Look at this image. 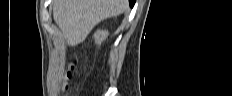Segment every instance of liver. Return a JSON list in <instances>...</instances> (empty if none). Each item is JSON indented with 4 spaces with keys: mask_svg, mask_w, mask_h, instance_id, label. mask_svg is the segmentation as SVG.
<instances>
[{
    "mask_svg": "<svg viewBox=\"0 0 232 96\" xmlns=\"http://www.w3.org/2000/svg\"><path fill=\"white\" fill-rule=\"evenodd\" d=\"M128 0H55L53 17L69 46L83 42L102 20L122 14Z\"/></svg>",
    "mask_w": 232,
    "mask_h": 96,
    "instance_id": "liver-1",
    "label": "liver"
}]
</instances>
